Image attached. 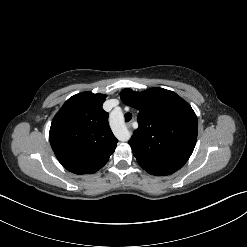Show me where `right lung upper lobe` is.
Here are the masks:
<instances>
[{"instance_id":"right-lung-upper-lobe-1","label":"right lung upper lobe","mask_w":247,"mask_h":247,"mask_svg":"<svg viewBox=\"0 0 247 247\" xmlns=\"http://www.w3.org/2000/svg\"><path fill=\"white\" fill-rule=\"evenodd\" d=\"M106 95L86 91L69 98L51 123L49 140L58 161L68 171L82 175L102 168L118 140L102 108Z\"/></svg>"}]
</instances>
